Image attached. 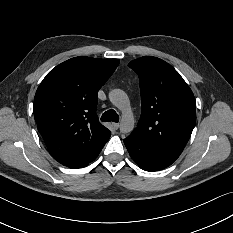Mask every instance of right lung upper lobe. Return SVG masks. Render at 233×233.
<instances>
[{"label": "right lung upper lobe", "mask_w": 233, "mask_h": 233, "mask_svg": "<svg viewBox=\"0 0 233 233\" xmlns=\"http://www.w3.org/2000/svg\"><path fill=\"white\" fill-rule=\"evenodd\" d=\"M118 64V59L75 57L52 69L38 87L35 121L59 163L81 164L108 141L111 132L96 115L97 93Z\"/></svg>", "instance_id": "right-lung-upper-lobe-1"}]
</instances>
